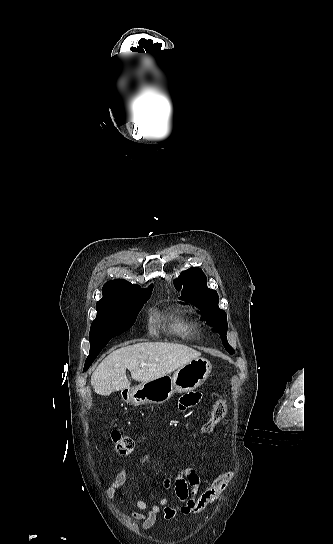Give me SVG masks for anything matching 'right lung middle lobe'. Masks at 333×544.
<instances>
[{"label": "right lung middle lobe", "mask_w": 333, "mask_h": 544, "mask_svg": "<svg viewBox=\"0 0 333 544\" xmlns=\"http://www.w3.org/2000/svg\"><path fill=\"white\" fill-rule=\"evenodd\" d=\"M151 292L152 290L133 298L96 304L97 317L90 328V353L86 359L85 367H90L110 339L127 331L134 324Z\"/></svg>", "instance_id": "dd1d6c3e"}]
</instances>
